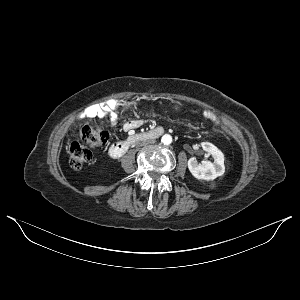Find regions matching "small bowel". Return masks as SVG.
Wrapping results in <instances>:
<instances>
[{"mask_svg": "<svg viewBox=\"0 0 300 300\" xmlns=\"http://www.w3.org/2000/svg\"><path fill=\"white\" fill-rule=\"evenodd\" d=\"M106 113V110L101 107L100 105H92L86 108L82 114L80 115V118H94V117H103ZM212 120L215 121V117L209 116ZM141 126V121L139 120H131L126 124V129H134Z\"/></svg>", "mask_w": 300, "mask_h": 300, "instance_id": "c3829d8e", "label": "small bowel"}]
</instances>
